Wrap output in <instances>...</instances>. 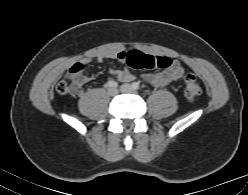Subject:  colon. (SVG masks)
<instances>
[{
	"label": "colon",
	"mask_w": 248,
	"mask_h": 195,
	"mask_svg": "<svg viewBox=\"0 0 248 195\" xmlns=\"http://www.w3.org/2000/svg\"><path fill=\"white\" fill-rule=\"evenodd\" d=\"M126 64L133 69H150L160 68L166 69L170 67L172 61L165 56H155L145 54L139 51L128 52L121 57ZM83 70L77 67L73 72L67 73L65 79L57 84V91L62 95L79 94L82 90ZM201 94L200 84L193 74H188L184 81V95L190 102L195 101Z\"/></svg>",
	"instance_id": "obj_1"
}]
</instances>
